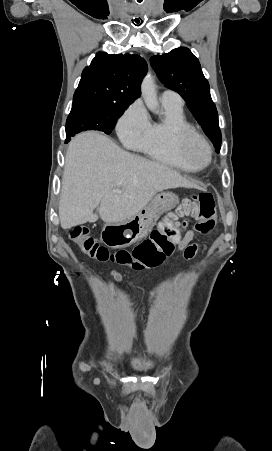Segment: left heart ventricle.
<instances>
[{
  "instance_id": "1",
  "label": "left heart ventricle",
  "mask_w": 272,
  "mask_h": 451,
  "mask_svg": "<svg viewBox=\"0 0 272 451\" xmlns=\"http://www.w3.org/2000/svg\"><path fill=\"white\" fill-rule=\"evenodd\" d=\"M192 162L197 167H204L207 163V154L205 150L199 146L194 145L190 150Z\"/></svg>"
}]
</instances>
